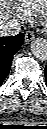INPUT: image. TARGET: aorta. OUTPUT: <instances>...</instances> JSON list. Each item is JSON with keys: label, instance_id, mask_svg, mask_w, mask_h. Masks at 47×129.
<instances>
[{"label": "aorta", "instance_id": "obj_1", "mask_svg": "<svg viewBox=\"0 0 47 129\" xmlns=\"http://www.w3.org/2000/svg\"><path fill=\"white\" fill-rule=\"evenodd\" d=\"M31 52L33 56L41 61L47 59V40L37 38L31 43Z\"/></svg>", "mask_w": 47, "mask_h": 129}]
</instances>
